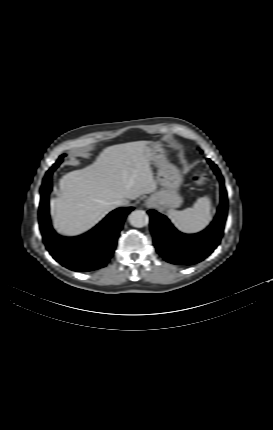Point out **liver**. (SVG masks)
Listing matches in <instances>:
<instances>
[{"instance_id":"liver-1","label":"liver","mask_w":273,"mask_h":430,"mask_svg":"<svg viewBox=\"0 0 273 430\" xmlns=\"http://www.w3.org/2000/svg\"><path fill=\"white\" fill-rule=\"evenodd\" d=\"M135 141L105 148L96 161L67 173L59 181V196L50 201L54 229L75 237L93 228L119 199L134 200L157 189L146 146Z\"/></svg>"}]
</instances>
